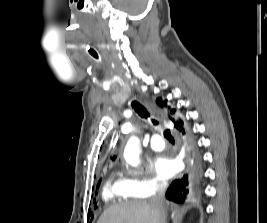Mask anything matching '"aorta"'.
<instances>
[{
  "label": "aorta",
  "instance_id": "762f6f07",
  "mask_svg": "<svg viewBox=\"0 0 267 223\" xmlns=\"http://www.w3.org/2000/svg\"><path fill=\"white\" fill-rule=\"evenodd\" d=\"M136 137H131L124 149V158L131 166H137L139 160V144Z\"/></svg>",
  "mask_w": 267,
  "mask_h": 223
}]
</instances>
